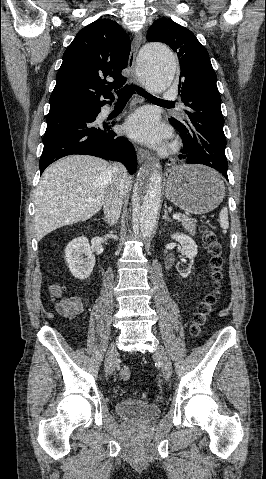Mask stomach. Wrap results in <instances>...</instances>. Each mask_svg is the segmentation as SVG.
Masks as SVG:
<instances>
[{
    "instance_id": "0dacf381",
    "label": "stomach",
    "mask_w": 266,
    "mask_h": 479,
    "mask_svg": "<svg viewBox=\"0 0 266 479\" xmlns=\"http://www.w3.org/2000/svg\"><path fill=\"white\" fill-rule=\"evenodd\" d=\"M168 200L191 214H205L223 200L225 186L221 176L202 165H181L174 168L165 183Z\"/></svg>"
}]
</instances>
